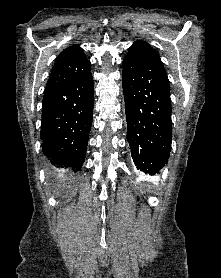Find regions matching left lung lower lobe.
I'll list each match as a JSON object with an SVG mask.
<instances>
[{
  "mask_svg": "<svg viewBox=\"0 0 221 278\" xmlns=\"http://www.w3.org/2000/svg\"><path fill=\"white\" fill-rule=\"evenodd\" d=\"M127 140L138 169L154 175L167 163L171 141V100L164 68L123 64Z\"/></svg>",
  "mask_w": 221,
  "mask_h": 278,
  "instance_id": "0a47b994",
  "label": "left lung lower lobe"
}]
</instances>
